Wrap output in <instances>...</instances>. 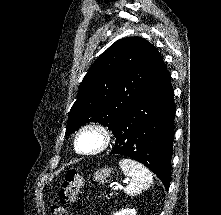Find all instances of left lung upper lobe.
<instances>
[{"label":"left lung upper lobe","mask_w":221,"mask_h":215,"mask_svg":"<svg viewBox=\"0 0 221 215\" xmlns=\"http://www.w3.org/2000/svg\"><path fill=\"white\" fill-rule=\"evenodd\" d=\"M164 65L157 49L139 37L116 41L83 78L68 118L66 135L89 121L113 130Z\"/></svg>","instance_id":"obj_1"}]
</instances>
